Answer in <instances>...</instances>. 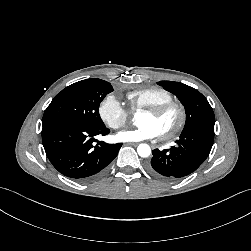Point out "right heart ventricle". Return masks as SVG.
Here are the masks:
<instances>
[{"label": "right heart ventricle", "instance_id": "obj_1", "mask_svg": "<svg viewBox=\"0 0 251 251\" xmlns=\"http://www.w3.org/2000/svg\"><path fill=\"white\" fill-rule=\"evenodd\" d=\"M127 99L131 110H139L172 101L173 95L164 88L150 87L129 92Z\"/></svg>", "mask_w": 251, "mask_h": 251}]
</instances>
